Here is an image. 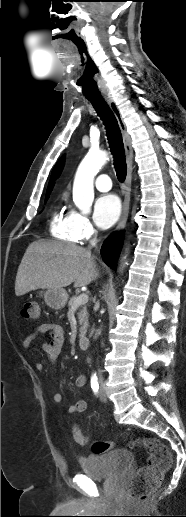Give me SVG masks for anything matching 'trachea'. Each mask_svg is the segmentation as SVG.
Returning <instances> with one entry per match:
<instances>
[{
    "label": "trachea",
    "mask_w": 186,
    "mask_h": 517,
    "mask_svg": "<svg viewBox=\"0 0 186 517\" xmlns=\"http://www.w3.org/2000/svg\"><path fill=\"white\" fill-rule=\"evenodd\" d=\"M85 97L91 102L98 116L102 119L107 130V138L114 157V166L117 178L123 182L127 174V166L125 161L124 146L121 131L115 115L101 96Z\"/></svg>",
    "instance_id": "obj_1"
}]
</instances>
